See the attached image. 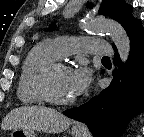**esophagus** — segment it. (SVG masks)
Instances as JSON below:
<instances>
[{
	"instance_id": "esophagus-1",
	"label": "esophagus",
	"mask_w": 144,
	"mask_h": 137,
	"mask_svg": "<svg viewBox=\"0 0 144 137\" xmlns=\"http://www.w3.org/2000/svg\"><path fill=\"white\" fill-rule=\"evenodd\" d=\"M75 127L78 128V129H83V128H85V125L83 123L77 122L75 124Z\"/></svg>"
}]
</instances>
